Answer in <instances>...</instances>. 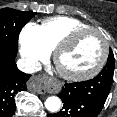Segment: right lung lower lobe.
<instances>
[{
  "label": "right lung lower lobe",
  "mask_w": 117,
  "mask_h": 117,
  "mask_svg": "<svg viewBox=\"0 0 117 117\" xmlns=\"http://www.w3.org/2000/svg\"><path fill=\"white\" fill-rule=\"evenodd\" d=\"M30 74L21 72L15 57L0 50V117H12L15 112V94L27 90Z\"/></svg>",
  "instance_id": "obj_1"
}]
</instances>
